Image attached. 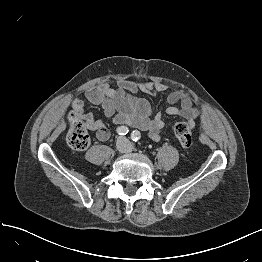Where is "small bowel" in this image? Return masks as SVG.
Masks as SVG:
<instances>
[{
	"label": "small bowel",
	"mask_w": 262,
	"mask_h": 262,
	"mask_svg": "<svg viewBox=\"0 0 262 262\" xmlns=\"http://www.w3.org/2000/svg\"><path fill=\"white\" fill-rule=\"evenodd\" d=\"M166 88L167 85L163 82L122 80L118 88H113L108 84L89 88L86 91V99L93 105H102L106 118L112 124L145 130L153 141L160 142L166 126L164 114L178 116L193 125L201 115L192 98L184 90H177L169 95L170 105L166 107L164 113H155L148 99L135 95L140 90L154 97ZM176 103L179 104L175 105ZM71 106L76 115L85 120L87 127L95 132L99 141L109 139L110 134L105 123L95 120L90 113L86 112L82 100L74 99Z\"/></svg>",
	"instance_id": "obj_1"
}]
</instances>
